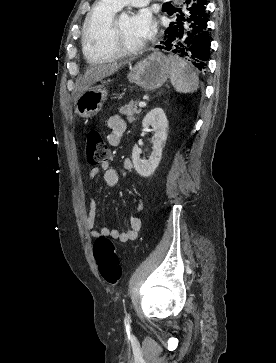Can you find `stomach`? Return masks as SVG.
<instances>
[{
	"instance_id": "obj_1",
	"label": "stomach",
	"mask_w": 276,
	"mask_h": 363,
	"mask_svg": "<svg viewBox=\"0 0 276 363\" xmlns=\"http://www.w3.org/2000/svg\"><path fill=\"white\" fill-rule=\"evenodd\" d=\"M171 76V62L160 52H154L130 68L128 79L147 91L159 89ZM106 82L93 85L76 100L75 112L83 118L94 117L103 107L108 91Z\"/></svg>"
}]
</instances>
